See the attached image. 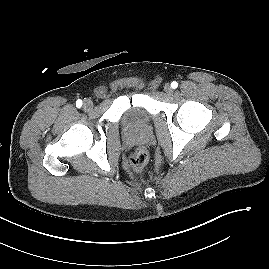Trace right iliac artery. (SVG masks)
<instances>
[{
    "instance_id": "right-iliac-artery-1",
    "label": "right iliac artery",
    "mask_w": 269,
    "mask_h": 269,
    "mask_svg": "<svg viewBox=\"0 0 269 269\" xmlns=\"http://www.w3.org/2000/svg\"><path fill=\"white\" fill-rule=\"evenodd\" d=\"M76 106H77L78 108H80V107L82 106V101H81V100H77V101H76Z\"/></svg>"
}]
</instances>
